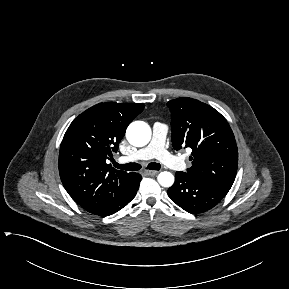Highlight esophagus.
Listing matches in <instances>:
<instances>
[{
    "instance_id": "1",
    "label": "esophagus",
    "mask_w": 289,
    "mask_h": 289,
    "mask_svg": "<svg viewBox=\"0 0 289 289\" xmlns=\"http://www.w3.org/2000/svg\"><path fill=\"white\" fill-rule=\"evenodd\" d=\"M159 171H155V170H145L144 173L148 176H154L156 174H158Z\"/></svg>"
}]
</instances>
